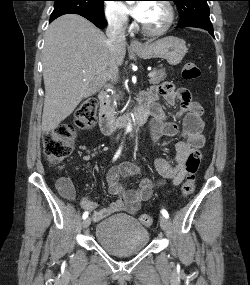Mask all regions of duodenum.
Returning <instances> with one entry per match:
<instances>
[{"label":"duodenum","mask_w":250,"mask_h":285,"mask_svg":"<svg viewBox=\"0 0 250 285\" xmlns=\"http://www.w3.org/2000/svg\"><path fill=\"white\" fill-rule=\"evenodd\" d=\"M98 99L100 103L99 126L101 131L107 135L112 134L119 126L127 123L129 120L142 125L148 120L151 114L149 105L141 101L138 109L130 117L116 120L110 111L108 93L105 91L100 92Z\"/></svg>","instance_id":"obj_1"}]
</instances>
